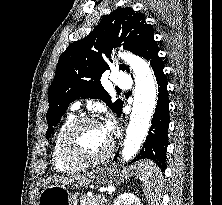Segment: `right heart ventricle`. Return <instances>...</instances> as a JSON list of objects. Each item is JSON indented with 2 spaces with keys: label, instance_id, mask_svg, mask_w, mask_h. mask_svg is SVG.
<instances>
[{
  "label": "right heart ventricle",
  "instance_id": "1",
  "mask_svg": "<svg viewBox=\"0 0 222 205\" xmlns=\"http://www.w3.org/2000/svg\"><path fill=\"white\" fill-rule=\"evenodd\" d=\"M75 119V115L70 114L63 124L60 126L58 129L55 138L53 140V145H52V150H51V158H52V165L53 168L57 172L65 173V172H72L76 171L79 169L78 166L72 165L64 160L61 154V149H60V142H61V137L64 133V131L67 129V127L73 122Z\"/></svg>",
  "mask_w": 222,
  "mask_h": 205
}]
</instances>
